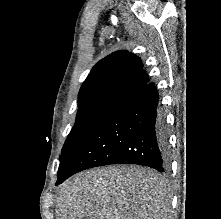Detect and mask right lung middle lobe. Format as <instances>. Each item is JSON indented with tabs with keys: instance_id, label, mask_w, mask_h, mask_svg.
Here are the masks:
<instances>
[{
	"instance_id": "dd1d6c3e",
	"label": "right lung middle lobe",
	"mask_w": 221,
	"mask_h": 219,
	"mask_svg": "<svg viewBox=\"0 0 221 219\" xmlns=\"http://www.w3.org/2000/svg\"><path fill=\"white\" fill-rule=\"evenodd\" d=\"M120 102L104 99L78 105L76 121L62 148L60 161L80 145Z\"/></svg>"
}]
</instances>
